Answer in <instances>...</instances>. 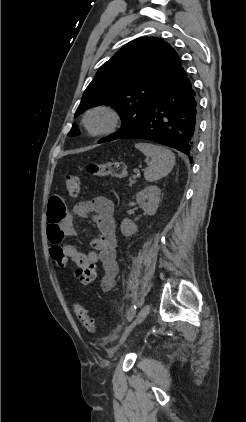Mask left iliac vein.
I'll list each match as a JSON object with an SVG mask.
<instances>
[{"mask_svg":"<svg viewBox=\"0 0 246 422\" xmlns=\"http://www.w3.org/2000/svg\"><path fill=\"white\" fill-rule=\"evenodd\" d=\"M150 312V305L146 304L145 306H143V308L140 310L139 314L137 315L136 319L133 321V323L125 330L124 334L121 337L120 340V345H122L126 338L128 337V335L130 334V332L138 325L140 324L142 321L145 320V318L148 316Z\"/></svg>","mask_w":246,"mask_h":422,"instance_id":"4c4485c4","label":"left iliac vein"}]
</instances>
